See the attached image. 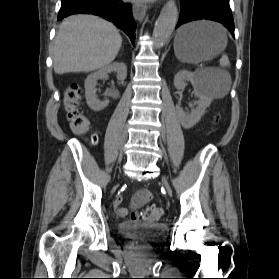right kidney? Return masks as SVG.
Instances as JSON below:
<instances>
[{
	"mask_svg": "<svg viewBox=\"0 0 279 279\" xmlns=\"http://www.w3.org/2000/svg\"><path fill=\"white\" fill-rule=\"evenodd\" d=\"M116 72L117 79L120 81L125 80L127 76V67L122 62H114L107 65L100 70L91 73L85 80V97L86 102L90 109L93 111H101L109 104L108 100L100 101L96 95V84L99 79H105L109 73Z\"/></svg>",
	"mask_w": 279,
	"mask_h": 279,
	"instance_id": "obj_1",
	"label": "right kidney"
}]
</instances>
